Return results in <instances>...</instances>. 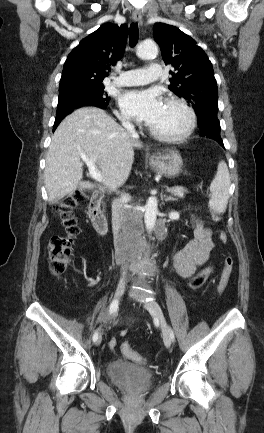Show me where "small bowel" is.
<instances>
[{
	"instance_id": "obj_1",
	"label": "small bowel",
	"mask_w": 264,
	"mask_h": 433,
	"mask_svg": "<svg viewBox=\"0 0 264 433\" xmlns=\"http://www.w3.org/2000/svg\"><path fill=\"white\" fill-rule=\"evenodd\" d=\"M193 233V239L178 250L172 259L174 270L182 279L192 277L196 270L208 261L214 247L210 230L200 221L194 222ZM125 334L126 330L119 333L121 336ZM116 344V338H112L108 343L110 348H114Z\"/></svg>"
}]
</instances>
